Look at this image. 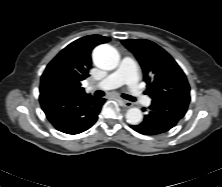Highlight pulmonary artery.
<instances>
[{"mask_svg": "<svg viewBox=\"0 0 222 187\" xmlns=\"http://www.w3.org/2000/svg\"><path fill=\"white\" fill-rule=\"evenodd\" d=\"M122 84L128 86L130 94L137 101L146 106L150 105V98L140 88L137 66L131 58H124L119 67L100 81L97 86L102 89H113Z\"/></svg>", "mask_w": 222, "mask_h": 187, "instance_id": "pulmonary-artery-1", "label": "pulmonary artery"}]
</instances>
